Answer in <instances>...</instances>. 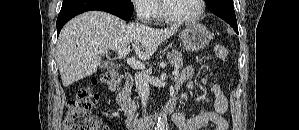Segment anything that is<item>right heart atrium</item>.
Masks as SVG:
<instances>
[{"label":"right heart atrium","mask_w":299,"mask_h":130,"mask_svg":"<svg viewBox=\"0 0 299 130\" xmlns=\"http://www.w3.org/2000/svg\"><path fill=\"white\" fill-rule=\"evenodd\" d=\"M133 7L138 18L142 21L156 19L160 11L157 0H135Z\"/></svg>","instance_id":"d8ad5b80"}]
</instances>
